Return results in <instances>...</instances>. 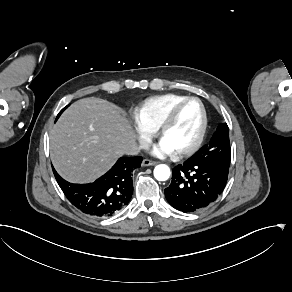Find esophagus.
Listing matches in <instances>:
<instances>
[{
  "mask_svg": "<svg viewBox=\"0 0 292 292\" xmlns=\"http://www.w3.org/2000/svg\"><path fill=\"white\" fill-rule=\"evenodd\" d=\"M158 162H155V161H152V160H149V159H144L142 161V166H154L156 165Z\"/></svg>",
  "mask_w": 292,
  "mask_h": 292,
  "instance_id": "34e87169",
  "label": "esophagus"
}]
</instances>
